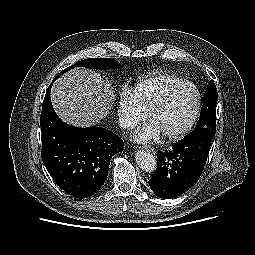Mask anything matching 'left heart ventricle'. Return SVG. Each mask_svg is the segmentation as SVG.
<instances>
[{
	"instance_id": "1",
	"label": "left heart ventricle",
	"mask_w": 255,
	"mask_h": 255,
	"mask_svg": "<svg viewBox=\"0 0 255 255\" xmlns=\"http://www.w3.org/2000/svg\"><path fill=\"white\" fill-rule=\"evenodd\" d=\"M196 100L195 88L188 86L177 93L151 120L157 124L163 135L176 132L183 128L192 117Z\"/></svg>"
}]
</instances>
